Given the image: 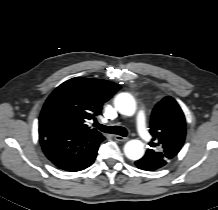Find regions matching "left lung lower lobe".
Returning a JSON list of instances; mask_svg holds the SVG:
<instances>
[{
    "label": "left lung lower lobe",
    "mask_w": 218,
    "mask_h": 210,
    "mask_svg": "<svg viewBox=\"0 0 218 210\" xmlns=\"http://www.w3.org/2000/svg\"><path fill=\"white\" fill-rule=\"evenodd\" d=\"M136 166L143 170H156L163 167L160 163L154 162L150 157L145 155L143 158L135 162Z\"/></svg>",
    "instance_id": "1"
}]
</instances>
